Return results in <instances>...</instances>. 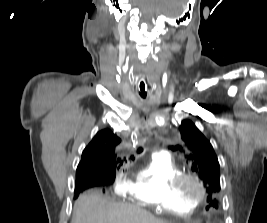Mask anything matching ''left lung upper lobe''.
<instances>
[{
    "label": "left lung upper lobe",
    "instance_id": "left-lung-upper-lobe-1",
    "mask_svg": "<svg viewBox=\"0 0 267 223\" xmlns=\"http://www.w3.org/2000/svg\"><path fill=\"white\" fill-rule=\"evenodd\" d=\"M182 140L185 142L187 159L204 183L206 191L213 194L220 191V166L212 145L190 120H183L179 127ZM177 150V146L173 147ZM209 207L218 208L216 199L210 200Z\"/></svg>",
    "mask_w": 267,
    "mask_h": 223
}]
</instances>
